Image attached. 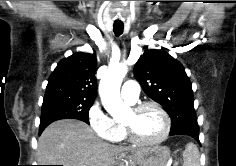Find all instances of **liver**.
<instances>
[{"instance_id":"obj_1","label":"liver","mask_w":236,"mask_h":166,"mask_svg":"<svg viewBox=\"0 0 236 166\" xmlns=\"http://www.w3.org/2000/svg\"><path fill=\"white\" fill-rule=\"evenodd\" d=\"M141 155L142 150L102 141L86 123L75 119L50 124L39 137L37 147L39 165L115 166L118 157H126L132 166Z\"/></svg>"}]
</instances>
